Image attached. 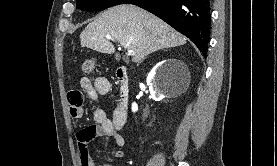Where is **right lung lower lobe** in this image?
Wrapping results in <instances>:
<instances>
[{
  "label": "right lung lower lobe",
  "mask_w": 277,
  "mask_h": 166,
  "mask_svg": "<svg viewBox=\"0 0 277 166\" xmlns=\"http://www.w3.org/2000/svg\"><path fill=\"white\" fill-rule=\"evenodd\" d=\"M122 3L136 4L158 16L188 37L207 57L211 24L209 0H123Z\"/></svg>",
  "instance_id": "1"
}]
</instances>
